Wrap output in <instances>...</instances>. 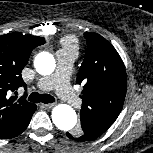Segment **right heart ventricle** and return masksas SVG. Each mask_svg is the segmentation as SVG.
Masks as SVG:
<instances>
[{
	"label": "right heart ventricle",
	"instance_id": "right-heart-ventricle-1",
	"mask_svg": "<svg viewBox=\"0 0 153 153\" xmlns=\"http://www.w3.org/2000/svg\"><path fill=\"white\" fill-rule=\"evenodd\" d=\"M62 45L64 50L76 51L77 49V41L74 37L68 36L62 40Z\"/></svg>",
	"mask_w": 153,
	"mask_h": 153
}]
</instances>
